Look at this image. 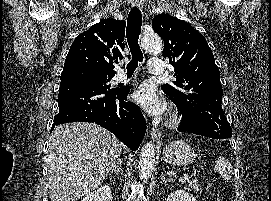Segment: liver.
<instances>
[{
	"label": "liver",
	"mask_w": 271,
	"mask_h": 201,
	"mask_svg": "<svg viewBox=\"0 0 271 201\" xmlns=\"http://www.w3.org/2000/svg\"><path fill=\"white\" fill-rule=\"evenodd\" d=\"M48 184L51 201H76L105 179L122 143L94 123L56 126L49 139Z\"/></svg>",
	"instance_id": "obj_1"
}]
</instances>
